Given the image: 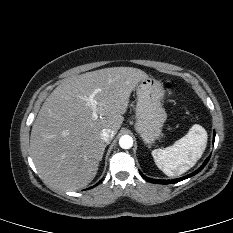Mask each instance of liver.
Returning a JSON list of instances; mask_svg holds the SVG:
<instances>
[{
  "instance_id": "obj_1",
  "label": "liver",
  "mask_w": 233,
  "mask_h": 233,
  "mask_svg": "<svg viewBox=\"0 0 233 233\" xmlns=\"http://www.w3.org/2000/svg\"><path fill=\"white\" fill-rule=\"evenodd\" d=\"M148 75L133 67H112L66 78L43 103L31 130L30 151L41 178L75 191L96 176L105 143L103 129L114 135L123 123L129 98ZM95 93L97 113L83 97Z\"/></svg>"
}]
</instances>
